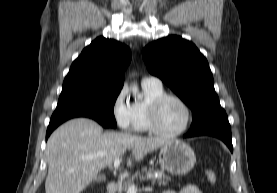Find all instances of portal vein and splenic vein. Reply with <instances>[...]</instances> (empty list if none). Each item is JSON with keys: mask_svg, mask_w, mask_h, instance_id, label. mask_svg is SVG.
I'll return each mask as SVG.
<instances>
[{"mask_svg": "<svg viewBox=\"0 0 277 193\" xmlns=\"http://www.w3.org/2000/svg\"><path fill=\"white\" fill-rule=\"evenodd\" d=\"M121 160L119 158L114 160V168L118 169L120 166ZM127 193H137V187L135 186V184H131L128 188V192Z\"/></svg>", "mask_w": 277, "mask_h": 193, "instance_id": "1", "label": "portal vein and splenic vein"}]
</instances>
